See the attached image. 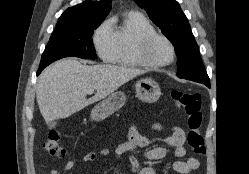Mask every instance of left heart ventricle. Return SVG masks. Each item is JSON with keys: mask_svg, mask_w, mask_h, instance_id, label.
<instances>
[{"mask_svg": "<svg viewBox=\"0 0 249 174\" xmlns=\"http://www.w3.org/2000/svg\"><path fill=\"white\" fill-rule=\"evenodd\" d=\"M153 57L159 60H167L170 58L171 51L169 46L164 41H157L151 49Z\"/></svg>", "mask_w": 249, "mask_h": 174, "instance_id": "b2bd125f", "label": "left heart ventricle"}]
</instances>
